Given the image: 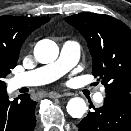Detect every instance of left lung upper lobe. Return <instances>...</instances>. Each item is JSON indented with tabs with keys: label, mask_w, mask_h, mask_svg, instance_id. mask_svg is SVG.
Instances as JSON below:
<instances>
[{
	"label": "left lung upper lobe",
	"mask_w": 131,
	"mask_h": 131,
	"mask_svg": "<svg viewBox=\"0 0 131 131\" xmlns=\"http://www.w3.org/2000/svg\"><path fill=\"white\" fill-rule=\"evenodd\" d=\"M87 41L92 74L102 79L106 98L131 107V30L104 14L80 13L65 18Z\"/></svg>",
	"instance_id": "1"
}]
</instances>
